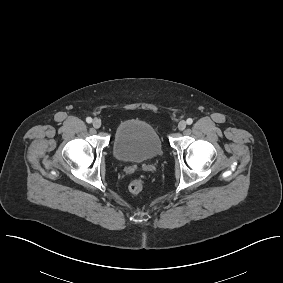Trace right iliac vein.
I'll list each match as a JSON object with an SVG mask.
<instances>
[{
	"label": "right iliac vein",
	"mask_w": 283,
	"mask_h": 283,
	"mask_svg": "<svg viewBox=\"0 0 283 283\" xmlns=\"http://www.w3.org/2000/svg\"><path fill=\"white\" fill-rule=\"evenodd\" d=\"M92 125L94 128L98 129L101 127V121L99 119H94Z\"/></svg>",
	"instance_id": "1"
}]
</instances>
